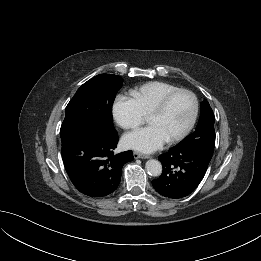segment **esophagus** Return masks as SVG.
Masks as SVG:
<instances>
[{"label": "esophagus", "instance_id": "obj_1", "mask_svg": "<svg viewBox=\"0 0 261 261\" xmlns=\"http://www.w3.org/2000/svg\"><path fill=\"white\" fill-rule=\"evenodd\" d=\"M133 155H134V158H135V159H138V158L147 159V158H149V156L144 155V154H142V153H139V152H137V151H135V152L133 153Z\"/></svg>", "mask_w": 261, "mask_h": 261}]
</instances>
